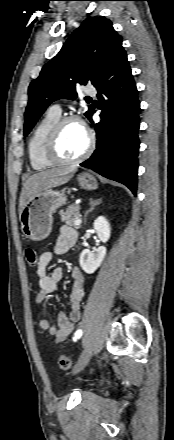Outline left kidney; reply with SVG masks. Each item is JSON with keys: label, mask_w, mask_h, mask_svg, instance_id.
I'll return each mask as SVG.
<instances>
[{"label": "left kidney", "mask_w": 174, "mask_h": 440, "mask_svg": "<svg viewBox=\"0 0 174 440\" xmlns=\"http://www.w3.org/2000/svg\"><path fill=\"white\" fill-rule=\"evenodd\" d=\"M98 238L101 242L106 243L111 235L110 223L104 216H99L93 223ZM106 255V247L100 246L95 251L85 249L80 254L79 263L82 270L87 274L94 273L102 264Z\"/></svg>", "instance_id": "1"}]
</instances>
